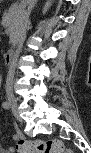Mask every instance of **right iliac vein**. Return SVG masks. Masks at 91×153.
<instances>
[{"mask_svg":"<svg viewBox=\"0 0 91 153\" xmlns=\"http://www.w3.org/2000/svg\"><path fill=\"white\" fill-rule=\"evenodd\" d=\"M7 101L10 105V108L15 112L17 113L18 112V105H17V100L16 98L14 97L13 94L11 93H8L7 94Z\"/></svg>","mask_w":91,"mask_h":153,"instance_id":"1","label":"right iliac vein"}]
</instances>
